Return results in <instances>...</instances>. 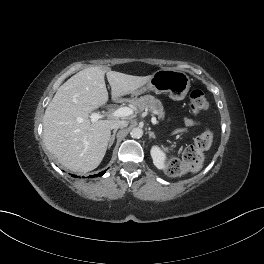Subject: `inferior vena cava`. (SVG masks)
Returning <instances> with one entry per match:
<instances>
[{
    "mask_svg": "<svg viewBox=\"0 0 264 264\" xmlns=\"http://www.w3.org/2000/svg\"><path fill=\"white\" fill-rule=\"evenodd\" d=\"M128 125V122L127 121H121V120H119V121H117L116 123H114L113 125H112V129H118V128H124V127H126Z\"/></svg>",
    "mask_w": 264,
    "mask_h": 264,
    "instance_id": "inferior-vena-cava-1",
    "label": "inferior vena cava"
}]
</instances>
